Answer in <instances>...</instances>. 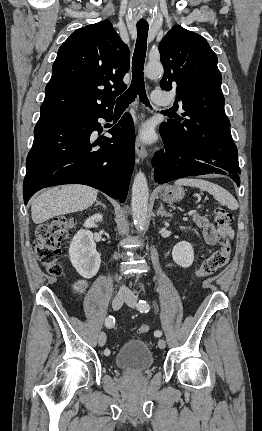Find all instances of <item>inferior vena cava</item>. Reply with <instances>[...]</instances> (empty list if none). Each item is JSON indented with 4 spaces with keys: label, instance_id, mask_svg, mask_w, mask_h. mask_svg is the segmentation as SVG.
I'll return each instance as SVG.
<instances>
[{
    "label": "inferior vena cava",
    "instance_id": "obj_1",
    "mask_svg": "<svg viewBox=\"0 0 262 431\" xmlns=\"http://www.w3.org/2000/svg\"><path fill=\"white\" fill-rule=\"evenodd\" d=\"M120 289H121V291H124V292L127 291V288L125 286H122Z\"/></svg>",
    "mask_w": 262,
    "mask_h": 431
}]
</instances>
